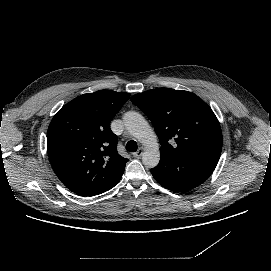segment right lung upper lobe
<instances>
[{"label": "right lung upper lobe", "instance_id": "right-lung-upper-lobe-1", "mask_svg": "<svg viewBox=\"0 0 271 271\" xmlns=\"http://www.w3.org/2000/svg\"><path fill=\"white\" fill-rule=\"evenodd\" d=\"M130 94L99 90L64 105L47 132L52 168L72 192L94 196L113 188L128 159L117 152V136L110 129L115 114Z\"/></svg>", "mask_w": 271, "mask_h": 271}]
</instances>
